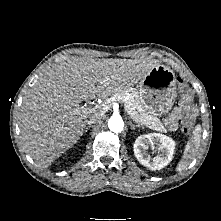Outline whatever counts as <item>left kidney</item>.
Instances as JSON below:
<instances>
[{"label": "left kidney", "instance_id": "left-kidney-1", "mask_svg": "<svg viewBox=\"0 0 221 221\" xmlns=\"http://www.w3.org/2000/svg\"><path fill=\"white\" fill-rule=\"evenodd\" d=\"M155 146L158 148V154L152 158L146 150ZM133 148L135 157L142 165L151 170H160L172 160L175 142L166 135L150 133L139 136L135 140Z\"/></svg>", "mask_w": 221, "mask_h": 221}]
</instances>
